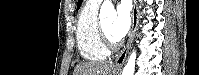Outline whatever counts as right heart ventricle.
Returning <instances> with one entry per match:
<instances>
[{
	"mask_svg": "<svg viewBox=\"0 0 199 75\" xmlns=\"http://www.w3.org/2000/svg\"><path fill=\"white\" fill-rule=\"evenodd\" d=\"M98 6L87 4L82 10L76 28L80 55L87 61H102L109 54L99 34Z\"/></svg>",
	"mask_w": 199,
	"mask_h": 75,
	"instance_id": "right-heart-ventricle-1",
	"label": "right heart ventricle"
}]
</instances>
